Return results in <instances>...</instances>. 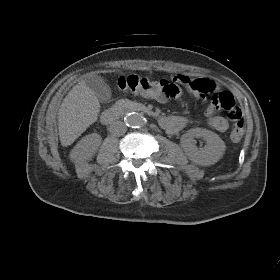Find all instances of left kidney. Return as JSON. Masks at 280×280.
I'll list each match as a JSON object with an SVG mask.
<instances>
[{
	"label": "left kidney",
	"mask_w": 280,
	"mask_h": 280,
	"mask_svg": "<svg viewBox=\"0 0 280 280\" xmlns=\"http://www.w3.org/2000/svg\"><path fill=\"white\" fill-rule=\"evenodd\" d=\"M194 137H203L207 143L205 147L198 149L194 144ZM182 147L190 160L204 164L217 161L223 154L225 144L217 134L207 129L193 128L183 135Z\"/></svg>",
	"instance_id": "left-kidney-1"
}]
</instances>
